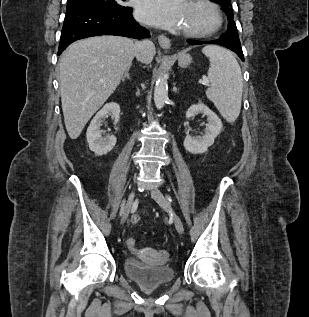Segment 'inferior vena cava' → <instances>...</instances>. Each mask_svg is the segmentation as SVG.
I'll return each instance as SVG.
<instances>
[{
	"label": "inferior vena cava",
	"mask_w": 309,
	"mask_h": 317,
	"mask_svg": "<svg viewBox=\"0 0 309 317\" xmlns=\"http://www.w3.org/2000/svg\"><path fill=\"white\" fill-rule=\"evenodd\" d=\"M141 48H142V44L139 43V42H136V43H135V53H136V57H137V58H138V56H139V52H140Z\"/></svg>",
	"instance_id": "1"
}]
</instances>
